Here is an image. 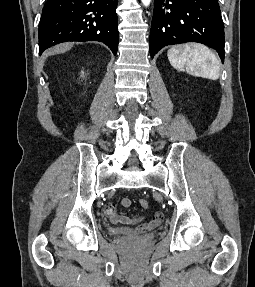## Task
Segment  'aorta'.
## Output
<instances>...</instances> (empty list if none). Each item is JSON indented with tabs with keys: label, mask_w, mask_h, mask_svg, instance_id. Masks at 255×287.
Here are the masks:
<instances>
[{
	"label": "aorta",
	"mask_w": 255,
	"mask_h": 287,
	"mask_svg": "<svg viewBox=\"0 0 255 287\" xmlns=\"http://www.w3.org/2000/svg\"><path fill=\"white\" fill-rule=\"evenodd\" d=\"M141 1L145 6H148L151 2V0H141Z\"/></svg>",
	"instance_id": "obj_1"
}]
</instances>
